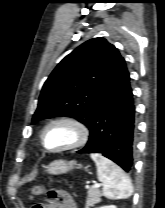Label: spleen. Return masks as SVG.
Masks as SVG:
<instances>
[{"label":"spleen","instance_id":"obj_1","mask_svg":"<svg viewBox=\"0 0 165 208\" xmlns=\"http://www.w3.org/2000/svg\"><path fill=\"white\" fill-rule=\"evenodd\" d=\"M98 180L103 183V195L109 199H127L133 194L131 180L123 170L99 153H92Z\"/></svg>","mask_w":165,"mask_h":208}]
</instances>
